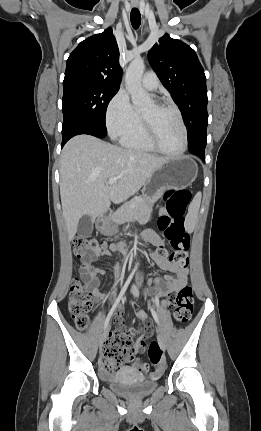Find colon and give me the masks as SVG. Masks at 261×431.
I'll list each match as a JSON object with an SVG mask.
<instances>
[{"mask_svg":"<svg viewBox=\"0 0 261 431\" xmlns=\"http://www.w3.org/2000/svg\"><path fill=\"white\" fill-rule=\"evenodd\" d=\"M191 200V193L187 189L168 190L164 195L166 215L158 220V227L169 240L173 251L168 256L166 249L159 248L156 253L168 259L177 266L186 267L189 262L188 250L190 235L184 227V214ZM105 243L86 237H77L73 241V250L82 259V267L90 265L93 255L99 249L105 248ZM92 294L90 285L78 278L74 279L70 288L69 312L76 326L87 329L90 323L89 313L92 308ZM169 305L174 307V319L179 324H185L192 316L194 298L193 289L189 285L183 286L176 295L167 298ZM133 357V344L125 333L112 332L109 334L102 357L104 369L109 373L116 372L123 362H129ZM149 357L154 363L152 370L148 362L133 360L131 367L136 373H146L145 380L154 382L162 377L166 356L157 342L149 347Z\"/></svg>","mask_w":261,"mask_h":431,"instance_id":"colon-1","label":"colon"}]
</instances>
